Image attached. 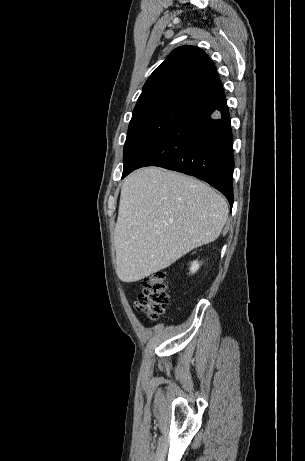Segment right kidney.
I'll return each mask as SVG.
<instances>
[{
	"label": "right kidney",
	"instance_id": "right-kidney-1",
	"mask_svg": "<svg viewBox=\"0 0 305 461\" xmlns=\"http://www.w3.org/2000/svg\"><path fill=\"white\" fill-rule=\"evenodd\" d=\"M199 267H200V265H199L198 261H193V262L191 263L190 272H191V273L197 272V270L199 269Z\"/></svg>",
	"mask_w": 305,
	"mask_h": 461
}]
</instances>
